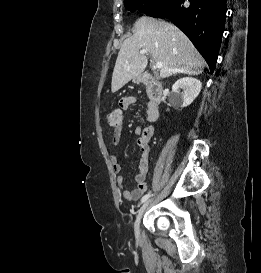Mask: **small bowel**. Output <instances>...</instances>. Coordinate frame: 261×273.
Returning <instances> with one entry per match:
<instances>
[{
	"label": "small bowel",
	"mask_w": 261,
	"mask_h": 273,
	"mask_svg": "<svg viewBox=\"0 0 261 273\" xmlns=\"http://www.w3.org/2000/svg\"><path fill=\"white\" fill-rule=\"evenodd\" d=\"M135 99L133 97H125L119 101V107L122 110L128 109ZM157 110L151 108L148 104L146 118L149 122H153L157 118ZM124 127L123 125L114 128L112 134V144L117 146L122 138ZM155 128L153 125H149L145 128H135V134L137 136V145L140 149V159L138 163V172L135 175V181L137 187L131 191L127 190L124 185V179L122 176V165L117 155L111 156V164L114 173L117 175V185L122 190L123 196L127 201H137L148 189L146 178L149 170V155H150V139L154 135Z\"/></svg>",
	"instance_id": "1"
}]
</instances>
